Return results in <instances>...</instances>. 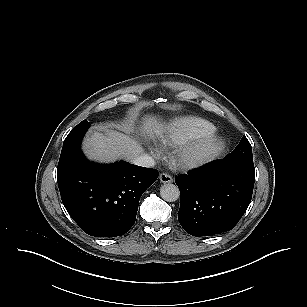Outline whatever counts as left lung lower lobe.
Listing matches in <instances>:
<instances>
[{"mask_svg": "<svg viewBox=\"0 0 307 307\" xmlns=\"http://www.w3.org/2000/svg\"><path fill=\"white\" fill-rule=\"evenodd\" d=\"M254 180V164L225 159L176 177L179 223L193 236L231 230L251 202Z\"/></svg>", "mask_w": 307, "mask_h": 307, "instance_id": "obj_1", "label": "left lung lower lobe"}]
</instances>
